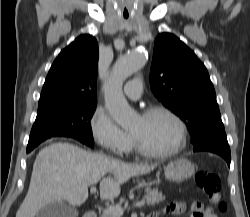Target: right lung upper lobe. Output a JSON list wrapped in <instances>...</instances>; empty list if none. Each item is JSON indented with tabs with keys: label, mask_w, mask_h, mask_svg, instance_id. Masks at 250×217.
I'll list each match as a JSON object with an SVG mask.
<instances>
[{
	"label": "right lung upper lobe",
	"mask_w": 250,
	"mask_h": 217,
	"mask_svg": "<svg viewBox=\"0 0 250 217\" xmlns=\"http://www.w3.org/2000/svg\"><path fill=\"white\" fill-rule=\"evenodd\" d=\"M98 43L81 35L53 62L42 88L38 112L82 103H96Z\"/></svg>",
	"instance_id": "1"
}]
</instances>
